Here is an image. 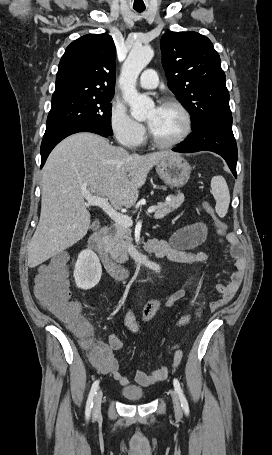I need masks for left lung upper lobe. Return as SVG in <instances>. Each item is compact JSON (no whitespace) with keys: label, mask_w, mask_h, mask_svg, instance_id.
Returning <instances> with one entry per match:
<instances>
[{"label":"left lung upper lobe","mask_w":272,"mask_h":455,"mask_svg":"<svg viewBox=\"0 0 272 455\" xmlns=\"http://www.w3.org/2000/svg\"><path fill=\"white\" fill-rule=\"evenodd\" d=\"M160 45L168 87L190 113L192 129L231 116L225 74L212 42L197 32L170 31Z\"/></svg>","instance_id":"obj_1"}]
</instances>
